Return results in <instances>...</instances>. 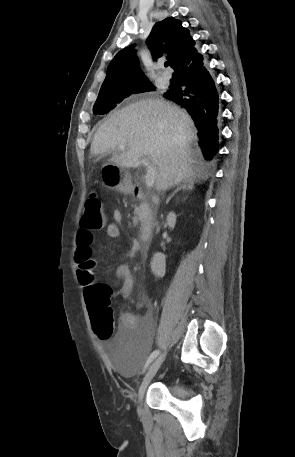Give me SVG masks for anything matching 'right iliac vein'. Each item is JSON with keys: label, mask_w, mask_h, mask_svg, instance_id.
I'll return each mask as SVG.
<instances>
[{"label": "right iliac vein", "mask_w": 295, "mask_h": 457, "mask_svg": "<svg viewBox=\"0 0 295 457\" xmlns=\"http://www.w3.org/2000/svg\"><path fill=\"white\" fill-rule=\"evenodd\" d=\"M166 354L163 353L161 354L150 366L149 370L147 371L145 377L143 378V381L139 387L138 390V401L142 402L144 393L146 391V388L148 387L149 383L153 379V377L156 375L157 371L159 370L160 366L162 365L164 359H165Z\"/></svg>", "instance_id": "1"}]
</instances>
